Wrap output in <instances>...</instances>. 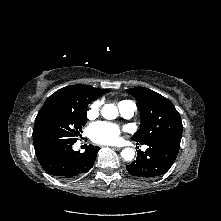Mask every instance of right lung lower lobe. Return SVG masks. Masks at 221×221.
<instances>
[{
    "mask_svg": "<svg viewBox=\"0 0 221 221\" xmlns=\"http://www.w3.org/2000/svg\"><path fill=\"white\" fill-rule=\"evenodd\" d=\"M73 144H53L36 151L42 168L60 179H73L88 172L94 165L100 147L89 146L84 153H80L72 150Z\"/></svg>",
    "mask_w": 221,
    "mask_h": 221,
    "instance_id": "1",
    "label": "right lung lower lobe"
}]
</instances>
